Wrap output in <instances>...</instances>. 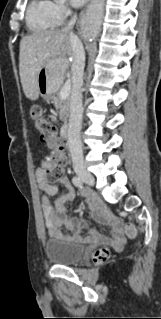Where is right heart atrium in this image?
Instances as JSON below:
<instances>
[{"label": "right heart atrium", "mask_w": 161, "mask_h": 319, "mask_svg": "<svg viewBox=\"0 0 161 319\" xmlns=\"http://www.w3.org/2000/svg\"><path fill=\"white\" fill-rule=\"evenodd\" d=\"M56 15L58 17V25H60L65 18L70 14L69 7L64 3H54Z\"/></svg>", "instance_id": "obj_1"}]
</instances>
